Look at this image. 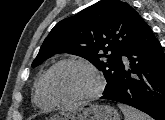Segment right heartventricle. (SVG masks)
<instances>
[{
	"label": "right heart ventricle",
	"instance_id": "right-heart-ventricle-1",
	"mask_svg": "<svg viewBox=\"0 0 165 120\" xmlns=\"http://www.w3.org/2000/svg\"><path fill=\"white\" fill-rule=\"evenodd\" d=\"M44 77L45 73L39 78L35 85L34 100L38 106L48 109L54 107L56 104L45 90Z\"/></svg>",
	"mask_w": 165,
	"mask_h": 120
}]
</instances>
